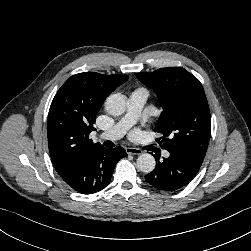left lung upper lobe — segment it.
<instances>
[{"label":"left lung upper lobe","instance_id":"left-lung-upper-lobe-1","mask_svg":"<svg viewBox=\"0 0 251 251\" xmlns=\"http://www.w3.org/2000/svg\"><path fill=\"white\" fill-rule=\"evenodd\" d=\"M136 77L152 88L163 107L155 126L162 148L203 162L211 132V115L202 84L181 67L161 68Z\"/></svg>","mask_w":251,"mask_h":251}]
</instances>
